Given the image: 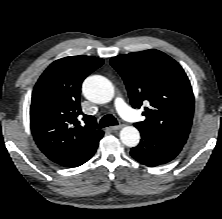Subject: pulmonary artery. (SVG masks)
I'll return each mask as SVG.
<instances>
[{"label": "pulmonary artery", "mask_w": 222, "mask_h": 219, "mask_svg": "<svg viewBox=\"0 0 222 219\" xmlns=\"http://www.w3.org/2000/svg\"><path fill=\"white\" fill-rule=\"evenodd\" d=\"M115 105L117 111L126 120L131 122H138L141 120V117L133 109H131L122 99H117Z\"/></svg>", "instance_id": "pulmonary-artery-1"}]
</instances>
